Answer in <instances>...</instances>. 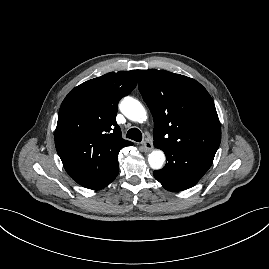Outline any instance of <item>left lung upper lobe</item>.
Listing matches in <instances>:
<instances>
[{
    "label": "left lung upper lobe",
    "mask_w": 269,
    "mask_h": 269,
    "mask_svg": "<svg viewBox=\"0 0 269 269\" xmlns=\"http://www.w3.org/2000/svg\"><path fill=\"white\" fill-rule=\"evenodd\" d=\"M139 91L154 118V146L216 153L221 127L207 90L196 80L164 70H142Z\"/></svg>",
    "instance_id": "1"
}]
</instances>
